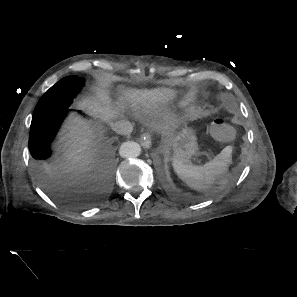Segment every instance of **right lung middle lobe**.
<instances>
[{
    "label": "right lung middle lobe",
    "mask_w": 297,
    "mask_h": 297,
    "mask_svg": "<svg viewBox=\"0 0 297 297\" xmlns=\"http://www.w3.org/2000/svg\"><path fill=\"white\" fill-rule=\"evenodd\" d=\"M84 80L76 76L61 79L51 87L39 100L32 120L46 117L57 105L75 97L81 90Z\"/></svg>",
    "instance_id": "right-lung-middle-lobe-1"
}]
</instances>
